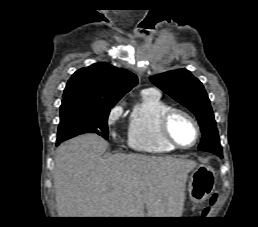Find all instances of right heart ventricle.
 I'll return each mask as SVG.
<instances>
[{
    "instance_id": "e07e8e85",
    "label": "right heart ventricle",
    "mask_w": 258,
    "mask_h": 227,
    "mask_svg": "<svg viewBox=\"0 0 258 227\" xmlns=\"http://www.w3.org/2000/svg\"><path fill=\"white\" fill-rule=\"evenodd\" d=\"M170 107L159 94L144 91L134 104L128 124V145L131 149L150 154H166L175 150L161 137L159 119Z\"/></svg>"
}]
</instances>
